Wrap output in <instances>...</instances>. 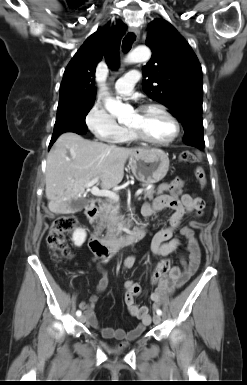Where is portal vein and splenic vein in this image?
<instances>
[{"mask_svg": "<svg viewBox=\"0 0 247 385\" xmlns=\"http://www.w3.org/2000/svg\"><path fill=\"white\" fill-rule=\"evenodd\" d=\"M98 180H99L98 177L92 179L90 182H87L85 184V187L90 189V191H91V193L93 195L102 196V197H108L110 199L118 201L119 200V196L114 191H110L108 189L100 190L98 187L94 186L98 182ZM142 191H143L142 189L137 190V192L135 194L136 197L140 196Z\"/></svg>", "mask_w": 247, "mask_h": 385, "instance_id": "1", "label": "portal vein and splenic vein"}]
</instances>
